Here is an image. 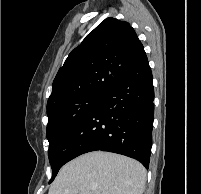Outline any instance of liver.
Wrapping results in <instances>:
<instances>
[{
	"instance_id": "1",
	"label": "liver",
	"mask_w": 201,
	"mask_h": 194,
	"mask_svg": "<svg viewBox=\"0 0 201 194\" xmlns=\"http://www.w3.org/2000/svg\"><path fill=\"white\" fill-rule=\"evenodd\" d=\"M146 170L138 161L95 151L64 165L48 194H142Z\"/></svg>"
}]
</instances>
